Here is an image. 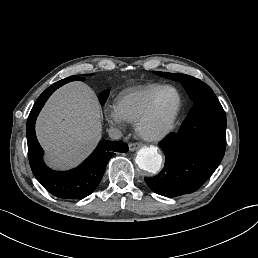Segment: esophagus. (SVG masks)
<instances>
[{
  "mask_svg": "<svg viewBox=\"0 0 258 258\" xmlns=\"http://www.w3.org/2000/svg\"><path fill=\"white\" fill-rule=\"evenodd\" d=\"M128 147L130 151H135L142 147V143H130Z\"/></svg>",
  "mask_w": 258,
  "mask_h": 258,
  "instance_id": "esophagus-1",
  "label": "esophagus"
}]
</instances>
